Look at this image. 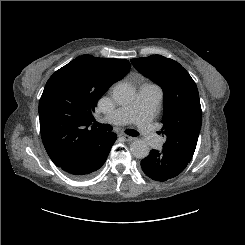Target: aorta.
I'll return each mask as SVG.
<instances>
[{
	"label": "aorta",
	"mask_w": 245,
	"mask_h": 245,
	"mask_svg": "<svg viewBox=\"0 0 245 245\" xmlns=\"http://www.w3.org/2000/svg\"><path fill=\"white\" fill-rule=\"evenodd\" d=\"M135 97L134 88L126 83L117 84L113 89V98L119 105L129 104ZM130 151L135 158L143 159L149 155V146L143 140H135L130 145Z\"/></svg>",
	"instance_id": "obj_1"
}]
</instances>
